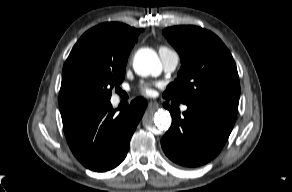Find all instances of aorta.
Instances as JSON below:
<instances>
[{"instance_id": "aorta-1", "label": "aorta", "mask_w": 292, "mask_h": 192, "mask_svg": "<svg viewBox=\"0 0 292 192\" xmlns=\"http://www.w3.org/2000/svg\"><path fill=\"white\" fill-rule=\"evenodd\" d=\"M134 71L140 76L150 74L158 75L162 66L157 54L151 49L138 51L133 61ZM171 124L170 113L164 109H159L151 118H145L144 125L149 130L158 129L160 131L168 129Z\"/></svg>"}]
</instances>
